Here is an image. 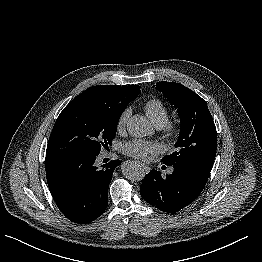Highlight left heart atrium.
Listing matches in <instances>:
<instances>
[{
    "mask_svg": "<svg viewBox=\"0 0 262 262\" xmlns=\"http://www.w3.org/2000/svg\"><path fill=\"white\" fill-rule=\"evenodd\" d=\"M121 149L126 155L137 159H146L149 154L158 152L157 144L138 139L124 143Z\"/></svg>",
    "mask_w": 262,
    "mask_h": 262,
    "instance_id": "obj_1",
    "label": "left heart atrium"
}]
</instances>
